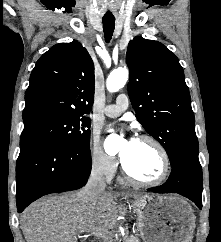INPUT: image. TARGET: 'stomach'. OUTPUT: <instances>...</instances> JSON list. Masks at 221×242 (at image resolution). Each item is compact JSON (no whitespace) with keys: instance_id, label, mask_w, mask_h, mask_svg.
I'll return each instance as SVG.
<instances>
[{"instance_id":"0dacf381","label":"stomach","mask_w":221,"mask_h":242,"mask_svg":"<svg viewBox=\"0 0 221 242\" xmlns=\"http://www.w3.org/2000/svg\"><path fill=\"white\" fill-rule=\"evenodd\" d=\"M144 242H191L195 215L177 195H143L132 201Z\"/></svg>"}]
</instances>
